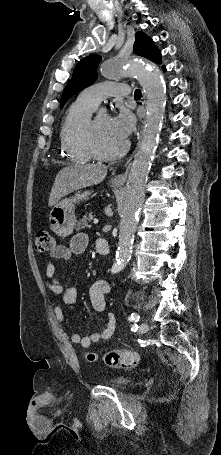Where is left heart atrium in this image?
<instances>
[{
	"label": "left heart atrium",
	"mask_w": 221,
	"mask_h": 455,
	"mask_svg": "<svg viewBox=\"0 0 221 455\" xmlns=\"http://www.w3.org/2000/svg\"><path fill=\"white\" fill-rule=\"evenodd\" d=\"M111 124L115 133L123 140H126L135 128L136 120L129 110L121 108L119 112L111 118Z\"/></svg>",
	"instance_id": "39dd6f15"
}]
</instances>
